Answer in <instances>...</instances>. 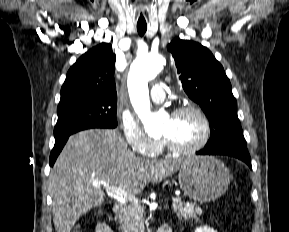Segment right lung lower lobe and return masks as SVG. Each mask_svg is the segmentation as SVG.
<instances>
[{"label": "right lung lower lobe", "instance_id": "1", "mask_svg": "<svg viewBox=\"0 0 289 232\" xmlns=\"http://www.w3.org/2000/svg\"><path fill=\"white\" fill-rule=\"evenodd\" d=\"M70 136V135H69ZM69 136L60 138L55 140L54 148L51 151L49 163L50 166H53L54 162L56 161L57 156L61 152L62 148L64 147L66 141L68 140Z\"/></svg>", "mask_w": 289, "mask_h": 232}]
</instances>
